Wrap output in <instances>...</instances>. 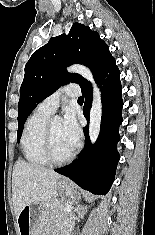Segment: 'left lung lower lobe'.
I'll return each instance as SVG.
<instances>
[{
    "label": "left lung lower lobe",
    "instance_id": "0a47b994",
    "mask_svg": "<svg viewBox=\"0 0 155 235\" xmlns=\"http://www.w3.org/2000/svg\"><path fill=\"white\" fill-rule=\"evenodd\" d=\"M101 89L102 119L101 130L95 145L90 144L88 127L83 128L85 147L72 164L55 169L69 177L81 188L97 195H105L110 190L116 173L120 140L118 129L122 123V87L120 71L115 59L101 72L96 80ZM85 97L84 116L89 121L92 103V86L82 88Z\"/></svg>",
    "mask_w": 155,
    "mask_h": 235
}]
</instances>
